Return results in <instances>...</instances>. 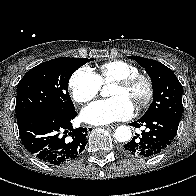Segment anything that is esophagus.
<instances>
[{
    "instance_id": "1",
    "label": "esophagus",
    "mask_w": 196,
    "mask_h": 196,
    "mask_svg": "<svg viewBox=\"0 0 196 196\" xmlns=\"http://www.w3.org/2000/svg\"><path fill=\"white\" fill-rule=\"evenodd\" d=\"M116 125H106L104 128H114Z\"/></svg>"
}]
</instances>
